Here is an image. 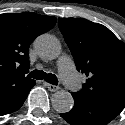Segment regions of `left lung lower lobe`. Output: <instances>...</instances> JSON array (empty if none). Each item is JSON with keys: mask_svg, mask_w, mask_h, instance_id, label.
<instances>
[{"mask_svg": "<svg viewBox=\"0 0 125 125\" xmlns=\"http://www.w3.org/2000/svg\"><path fill=\"white\" fill-rule=\"evenodd\" d=\"M74 107L60 116L71 125H107L120 114L125 103L113 99L85 100L77 93H71Z\"/></svg>", "mask_w": 125, "mask_h": 125, "instance_id": "0a47b994", "label": "left lung lower lobe"}]
</instances>
